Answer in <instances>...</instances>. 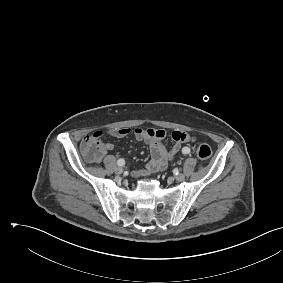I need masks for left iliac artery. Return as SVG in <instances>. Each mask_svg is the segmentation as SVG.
<instances>
[{
  "instance_id": "obj_1",
  "label": "left iliac artery",
  "mask_w": 283,
  "mask_h": 283,
  "mask_svg": "<svg viewBox=\"0 0 283 283\" xmlns=\"http://www.w3.org/2000/svg\"><path fill=\"white\" fill-rule=\"evenodd\" d=\"M182 153L188 154V153H190V149L188 147H184L183 150H182Z\"/></svg>"
}]
</instances>
